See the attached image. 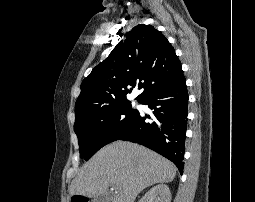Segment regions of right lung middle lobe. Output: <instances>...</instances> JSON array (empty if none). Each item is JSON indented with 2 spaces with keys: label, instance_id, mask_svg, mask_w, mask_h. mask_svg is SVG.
<instances>
[{
  "label": "right lung middle lobe",
  "instance_id": "right-lung-middle-lobe-1",
  "mask_svg": "<svg viewBox=\"0 0 255 202\" xmlns=\"http://www.w3.org/2000/svg\"><path fill=\"white\" fill-rule=\"evenodd\" d=\"M139 111L131 102L108 105L77 119L74 131L78 137L80 157L89 160L100 148L116 141L135 121Z\"/></svg>",
  "mask_w": 255,
  "mask_h": 202
}]
</instances>
